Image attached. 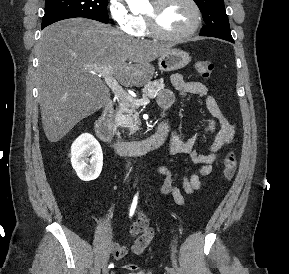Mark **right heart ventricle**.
Here are the masks:
<instances>
[{
	"mask_svg": "<svg viewBox=\"0 0 289 274\" xmlns=\"http://www.w3.org/2000/svg\"><path fill=\"white\" fill-rule=\"evenodd\" d=\"M138 21V31L136 33L137 36H148L150 35V31L148 29L146 20L144 15H138L136 16Z\"/></svg>",
	"mask_w": 289,
	"mask_h": 274,
	"instance_id": "1",
	"label": "right heart ventricle"
}]
</instances>
